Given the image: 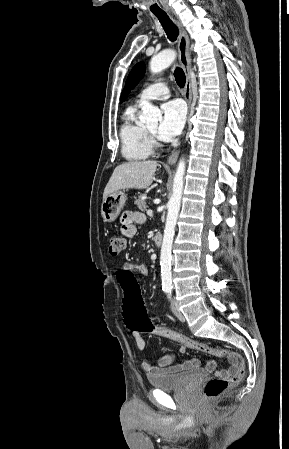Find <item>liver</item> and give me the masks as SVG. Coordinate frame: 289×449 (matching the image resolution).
I'll return each mask as SVG.
<instances>
[{"label": "liver", "mask_w": 289, "mask_h": 449, "mask_svg": "<svg viewBox=\"0 0 289 449\" xmlns=\"http://www.w3.org/2000/svg\"><path fill=\"white\" fill-rule=\"evenodd\" d=\"M157 168L156 161H131L117 166L107 183L103 200L122 189H145L151 185Z\"/></svg>", "instance_id": "obj_1"}]
</instances>
